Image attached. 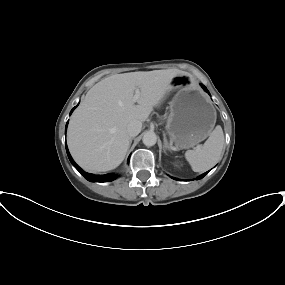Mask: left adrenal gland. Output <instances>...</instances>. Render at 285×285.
I'll use <instances>...</instances> for the list:
<instances>
[{
  "instance_id": "left-adrenal-gland-1",
  "label": "left adrenal gland",
  "mask_w": 285,
  "mask_h": 285,
  "mask_svg": "<svg viewBox=\"0 0 285 285\" xmlns=\"http://www.w3.org/2000/svg\"><path fill=\"white\" fill-rule=\"evenodd\" d=\"M163 137H164V151L166 152V150H169L170 151V147L168 145V142H167V139H166V135L163 134Z\"/></svg>"
}]
</instances>
